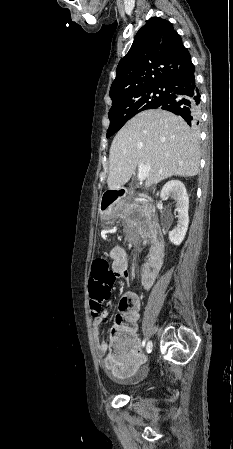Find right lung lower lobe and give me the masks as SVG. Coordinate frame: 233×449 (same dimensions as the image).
<instances>
[{"label":"right lung lower lobe","instance_id":"98d812e1","mask_svg":"<svg viewBox=\"0 0 233 449\" xmlns=\"http://www.w3.org/2000/svg\"><path fill=\"white\" fill-rule=\"evenodd\" d=\"M167 85L169 93L156 108L180 115L190 126L196 127L200 117V94L194 70L171 80Z\"/></svg>","mask_w":233,"mask_h":449}]
</instances>
